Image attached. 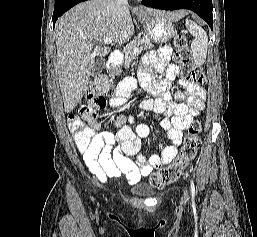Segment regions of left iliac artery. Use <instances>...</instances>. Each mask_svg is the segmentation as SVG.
I'll use <instances>...</instances> for the list:
<instances>
[{"label":"left iliac artery","instance_id":"left-iliac-artery-1","mask_svg":"<svg viewBox=\"0 0 257 237\" xmlns=\"http://www.w3.org/2000/svg\"><path fill=\"white\" fill-rule=\"evenodd\" d=\"M191 193L193 196L195 195V186H194L193 180H191Z\"/></svg>","mask_w":257,"mask_h":237}]
</instances>
